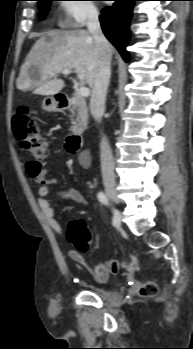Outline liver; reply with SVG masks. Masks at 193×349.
<instances>
[{"instance_id":"1","label":"liver","mask_w":193,"mask_h":349,"mask_svg":"<svg viewBox=\"0 0 193 349\" xmlns=\"http://www.w3.org/2000/svg\"><path fill=\"white\" fill-rule=\"evenodd\" d=\"M110 50L112 55L111 45ZM98 59L99 48L89 31H48L27 55L20 69L17 88L31 90L37 95H55L64 87V81L57 75L66 69H75L78 79L92 88Z\"/></svg>"}]
</instances>
